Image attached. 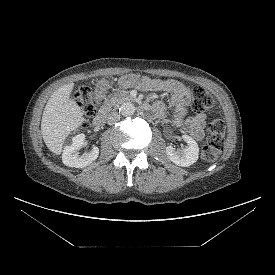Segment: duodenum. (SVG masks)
Listing matches in <instances>:
<instances>
[{"mask_svg": "<svg viewBox=\"0 0 275 275\" xmlns=\"http://www.w3.org/2000/svg\"><path fill=\"white\" fill-rule=\"evenodd\" d=\"M141 109L144 113H150L151 112V107L147 103H142L141 104ZM107 118V112L105 110H101L93 119V124L96 127H101L105 124Z\"/></svg>", "mask_w": 275, "mask_h": 275, "instance_id": "1", "label": "duodenum"}]
</instances>
